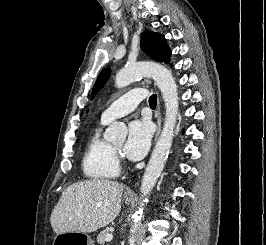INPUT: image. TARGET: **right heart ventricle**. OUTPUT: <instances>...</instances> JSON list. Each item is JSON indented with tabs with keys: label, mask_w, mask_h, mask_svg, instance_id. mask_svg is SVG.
<instances>
[{
	"label": "right heart ventricle",
	"mask_w": 266,
	"mask_h": 245,
	"mask_svg": "<svg viewBox=\"0 0 266 245\" xmlns=\"http://www.w3.org/2000/svg\"><path fill=\"white\" fill-rule=\"evenodd\" d=\"M100 122L89 134L82 158V171L95 182H110L120 175V167L112 146L101 137Z\"/></svg>",
	"instance_id": "e07e8e85"
}]
</instances>
